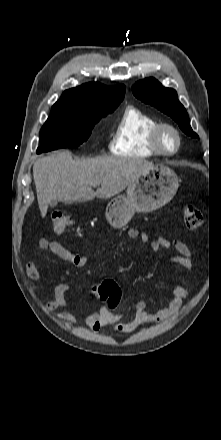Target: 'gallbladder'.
<instances>
[{"label": "gallbladder", "mask_w": 221, "mask_h": 440, "mask_svg": "<svg viewBox=\"0 0 221 440\" xmlns=\"http://www.w3.org/2000/svg\"><path fill=\"white\" fill-rule=\"evenodd\" d=\"M49 205L53 208L57 205V201H51Z\"/></svg>", "instance_id": "bac80fb5"}]
</instances>
